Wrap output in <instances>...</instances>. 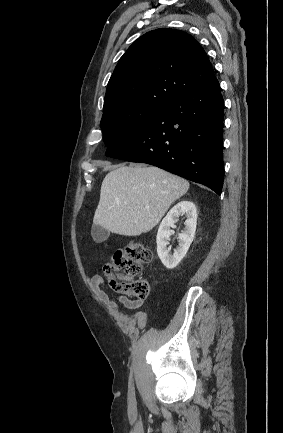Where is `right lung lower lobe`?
I'll return each mask as SVG.
<instances>
[{"instance_id":"98d812e1","label":"right lung lower lobe","mask_w":283,"mask_h":433,"mask_svg":"<svg viewBox=\"0 0 283 433\" xmlns=\"http://www.w3.org/2000/svg\"><path fill=\"white\" fill-rule=\"evenodd\" d=\"M223 111L216 80L166 105L112 157L157 166L220 195L224 181Z\"/></svg>"}]
</instances>
